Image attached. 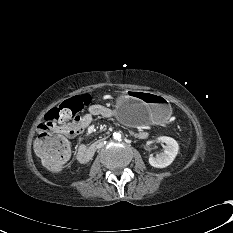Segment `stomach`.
I'll return each mask as SVG.
<instances>
[{
	"label": "stomach",
	"mask_w": 233,
	"mask_h": 233,
	"mask_svg": "<svg viewBox=\"0 0 233 233\" xmlns=\"http://www.w3.org/2000/svg\"><path fill=\"white\" fill-rule=\"evenodd\" d=\"M171 114L172 108L165 97L147 91H129L117 99L115 106V116L128 125L165 122Z\"/></svg>",
	"instance_id": "1"
}]
</instances>
